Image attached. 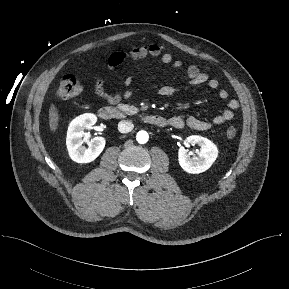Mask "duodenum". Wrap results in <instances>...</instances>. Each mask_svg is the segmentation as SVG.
<instances>
[{
	"mask_svg": "<svg viewBox=\"0 0 289 289\" xmlns=\"http://www.w3.org/2000/svg\"><path fill=\"white\" fill-rule=\"evenodd\" d=\"M98 115L102 120L122 119L128 116V113L123 109L114 106L106 105L99 109ZM136 118L158 127H164L167 125V119L161 115H138Z\"/></svg>",
	"mask_w": 289,
	"mask_h": 289,
	"instance_id": "obj_1",
	"label": "duodenum"
}]
</instances>
